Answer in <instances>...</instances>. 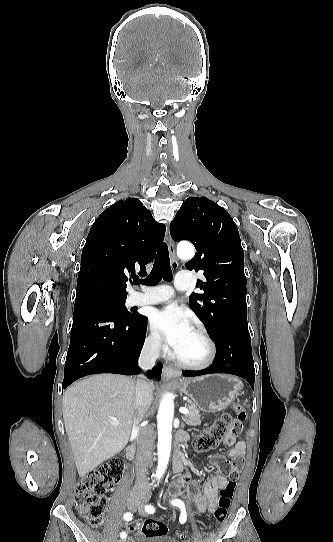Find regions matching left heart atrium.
Segmentation results:
<instances>
[{"mask_svg":"<svg viewBox=\"0 0 333 542\" xmlns=\"http://www.w3.org/2000/svg\"><path fill=\"white\" fill-rule=\"evenodd\" d=\"M153 323L158 333L166 341L170 351L175 350L182 339L193 330L189 315L175 305L158 311L154 316Z\"/></svg>","mask_w":333,"mask_h":542,"instance_id":"obj_1","label":"left heart atrium"}]
</instances>
